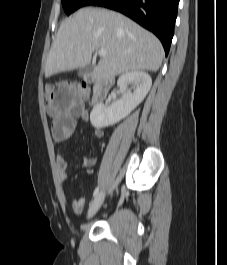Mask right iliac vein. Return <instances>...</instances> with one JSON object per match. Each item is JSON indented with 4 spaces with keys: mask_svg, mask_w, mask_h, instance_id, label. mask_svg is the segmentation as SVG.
Here are the masks:
<instances>
[{
    "mask_svg": "<svg viewBox=\"0 0 227 265\" xmlns=\"http://www.w3.org/2000/svg\"><path fill=\"white\" fill-rule=\"evenodd\" d=\"M105 198V192L102 191L100 192L95 199L92 201V203L90 204L89 210H88V214H87V218L90 219L91 217H93L96 212L99 210V208L101 207L103 201Z\"/></svg>",
    "mask_w": 227,
    "mask_h": 265,
    "instance_id": "1",
    "label": "right iliac vein"
}]
</instances>
